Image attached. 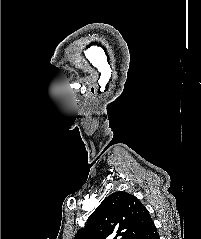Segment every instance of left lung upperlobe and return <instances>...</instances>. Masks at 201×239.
I'll return each mask as SVG.
<instances>
[{"label": "left lung upper lobe", "mask_w": 201, "mask_h": 239, "mask_svg": "<svg viewBox=\"0 0 201 239\" xmlns=\"http://www.w3.org/2000/svg\"><path fill=\"white\" fill-rule=\"evenodd\" d=\"M151 221L133 195L118 191L106 197L74 239H135Z\"/></svg>", "instance_id": "1"}]
</instances>
